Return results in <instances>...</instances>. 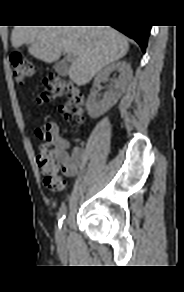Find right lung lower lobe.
I'll use <instances>...</instances> for the list:
<instances>
[{"label": "right lung lower lobe", "instance_id": "1", "mask_svg": "<svg viewBox=\"0 0 184 292\" xmlns=\"http://www.w3.org/2000/svg\"><path fill=\"white\" fill-rule=\"evenodd\" d=\"M114 28L121 31L128 37L134 39L141 47L142 51L145 52L147 41L150 33L151 26L149 25H113Z\"/></svg>", "mask_w": 184, "mask_h": 292}]
</instances>
